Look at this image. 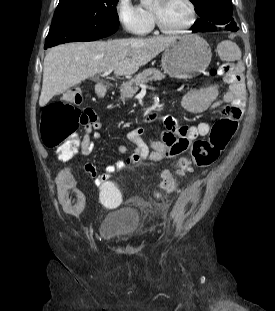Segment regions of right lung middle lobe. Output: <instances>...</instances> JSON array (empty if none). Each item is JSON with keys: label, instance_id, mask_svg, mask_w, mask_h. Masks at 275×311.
Masks as SVG:
<instances>
[{"label": "right lung middle lobe", "instance_id": "1", "mask_svg": "<svg viewBox=\"0 0 275 311\" xmlns=\"http://www.w3.org/2000/svg\"><path fill=\"white\" fill-rule=\"evenodd\" d=\"M119 0H60L45 49L74 41H92L117 31Z\"/></svg>", "mask_w": 275, "mask_h": 311}]
</instances>
